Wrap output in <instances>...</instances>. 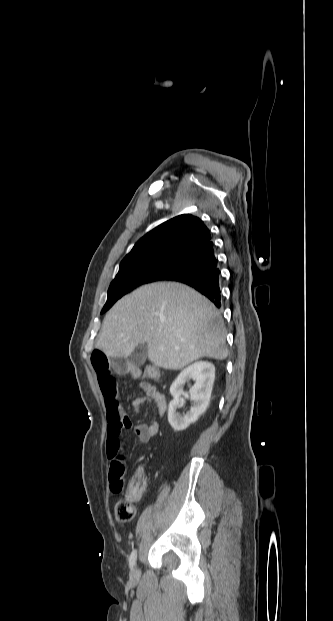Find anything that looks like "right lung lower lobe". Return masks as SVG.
<instances>
[{
    "mask_svg": "<svg viewBox=\"0 0 333 621\" xmlns=\"http://www.w3.org/2000/svg\"><path fill=\"white\" fill-rule=\"evenodd\" d=\"M163 280L187 284L221 307L220 270L214 244L210 241L187 258Z\"/></svg>",
    "mask_w": 333,
    "mask_h": 621,
    "instance_id": "98d812e1",
    "label": "right lung lower lobe"
}]
</instances>
